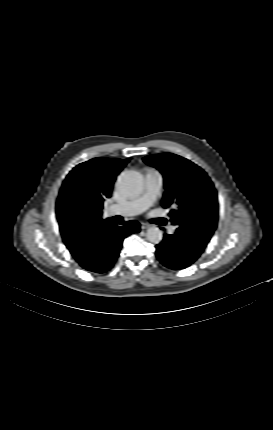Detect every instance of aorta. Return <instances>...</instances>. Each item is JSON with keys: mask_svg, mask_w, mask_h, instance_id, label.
<instances>
[{"mask_svg": "<svg viewBox=\"0 0 273 430\" xmlns=\"http://www.w3.org/2000/svg\"><path fill=\"white\" fill-rule=\"evenodd\" d=\"M143 175L135 170L122 172L117 180L118 188L128 196H135L143 189ZM146 238L149 242L158 244L163 238L162 231L158 227H150L147 230Z\"/></svg>", "mask_w": 273, "mask_h": 430, "instance_id": "obj_1", "label": "aorta"}]
</instances>
